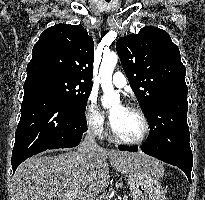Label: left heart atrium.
Here are the masks:
<instances>
[{
    "mask_svg": "<svg viewBox=\"0 0 205 200\" xmlns=\"http://www.w3.org/2000/svg\"><path fill=\"white\" fill-rule=\"evenodd\" d=\"M110 119H111V122H112V119H113L112 115H110Z\"/></svg>",
    "mask_w": 205,
    "mask_h": 200,
    "instance_id": "obj_1",
    "label": "left heart atrium"
}]
</instances>
